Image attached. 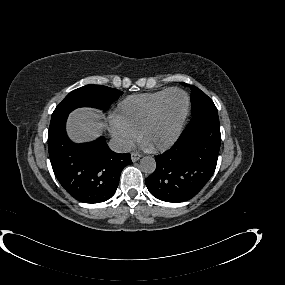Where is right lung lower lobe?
I'll return each mask as SVG.
<instances>
[{"mask_svg":"<svg viewBox=\"0 0 285 285\" xmlns=\"http://www.w3.org/2000/svg\"><path fill=\"white\" fill-rule=\"evenodd\" d=\"M67 117L50 122L48 148L54 174L76 200L104 202L114 195L121 171L132 163L131 155L113 152L103 137L83 144L71 142L65 130Z\"/></svg>","mask_w":285,"mask_h":285,"instance_id":"right-lung-lower-lobe-1","label":"right lung lower lobe"}]
</instances>
